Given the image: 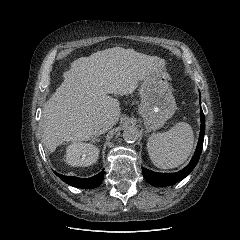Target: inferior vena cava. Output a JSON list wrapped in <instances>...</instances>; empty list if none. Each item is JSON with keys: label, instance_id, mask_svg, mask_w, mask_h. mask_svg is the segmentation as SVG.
<instances>
[{"label": "inferior vena cava", "instance_id": "inferior-vena-cava-1", "mask_svg": "<svg viewBox=\"0 0 240 240\" xmlns=\"http://www.w3.org/2000/svg\"><path fill=\"white\" fill-rule=\"evenodd\" d=\"M108 129H109V123H108V121L105 119V120L101 121V122L97 125V127H96V129H95V131H94V135L103 134V133H105Z\"/></svg>", "mask_w": 240, "mask_h": 240}]
</instances>
